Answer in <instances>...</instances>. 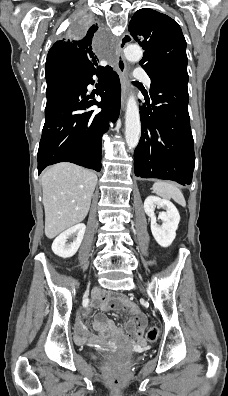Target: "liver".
<instances>
[{
    "label": "liver",
    "mask_w": 228,
    "mask_h": 396,
    "mask_svg": "<svg viewBox=\"0 0 228 396\" xmlns=\"http://www.w3.org/2000/svg\"><path fill=\"white\" fill-rule=\"evenodd\" d=\"M41 182L45 235L52 239L85 219L97 176L80 166L62 162L45 170Z\"/></svg>",
    "instance_id": "6515ba94"
}]
</instances>
